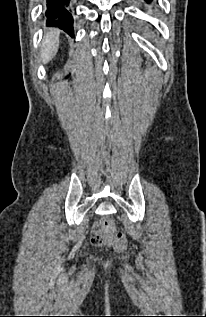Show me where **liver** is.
Wrapping results in <instances>:
<instances>
[{
	"label": "liver",
	"instance_id": "liver-1",
	"mask_svg": "<svg viewBox=\"0 0 206 317\" xmlns=\"http://www.w3.org/2000/svg\"><path fill=\"white\" fill-rule=\"evenodd\" d=\"M59 30L50 29L40 49V61L48 63L57 53L59 47Z\"/></svg>",
	"mask_w": 206,
	"mask_h": 317
}]
</instances>
